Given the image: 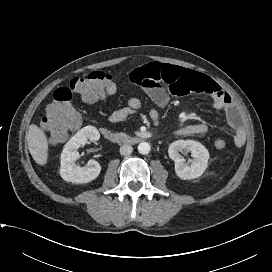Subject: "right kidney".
<instances>
[{"instance_id": "obj_1", "label": "right kidney", "mask_w": 272, "mask_h": 272, "mask_svg": "<svg viewBox=\"0 0 272 272\" xmlns=\"http://www.w3.org/2000/svg\"><path fill=\"white\" fill-rule=\"evenodd\" d=\"M100 133L93 126H86L79 130L66 143L61 153L60 175L63 180L75 184L88 183L98 177L101 171L100 164L95 160H90L85 166L76 164L80 158L78 149L88 142L99 140Z\"/></svg>"}]
</instances>
